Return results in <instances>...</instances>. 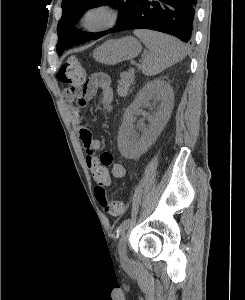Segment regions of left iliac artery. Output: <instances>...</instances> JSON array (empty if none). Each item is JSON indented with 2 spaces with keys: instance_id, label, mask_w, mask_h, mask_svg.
I'll return each mask as SVG.
<instances>
[{
  "instance_id": "obj_1",
  "label": "left iliac artery",
  "mask_w": 245,
  "mask_h": 300,
  "mask_svg": "<svg viewBox=\"0 0 245 300\" xmlns=\"http://www.w3.org/2000/svg\"><path fill=\"white\" fill-rule=\"evenodd\" d=\"M129 224H130V219H126L120 224V226L117 229V236L118 237H119V235H121L127 229Z\"/></svg>"
}]
</instances>
